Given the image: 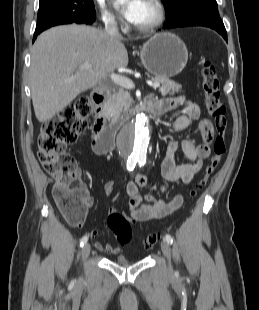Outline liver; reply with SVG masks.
I'll list each match as a JSON object with an SVG mask.
<instances>
[{
    "label": "liver",
    "instance_id": "liver-1",
    "mask_svg": "<svg viewBox=\"0 0 259 310\" xmlns=\"http://www.w3.org/2000/svg\"><path fill=\"white\" fill-rule=\"evenodd\" d=\"M121 40L85 25H63L43 32L31 50L30 87L37 120H50L80 93L116 69L126 68L128 53ZM86 62L92 67L80 69Z\"/></svg>",
    "mask_w": 259,
    "mask_h": 310
}]
</instances>
